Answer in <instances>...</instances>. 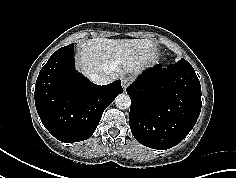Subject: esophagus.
<instances>
[{
  "label": "esophagus",
  "instance_id": "1",
  "mask_svg": "<svg viewBox=\"0 0 236 178\" xmlns=\"http://www.w3.org/2000/svg\"><path fill=\"white\" fill-rule=\"evenodd\" d=\"M131 78L129 77H122L121 78V85L124 89V91H126V88L129 86V84L131 83Z\"/></svg>",
  "mask_w": 236,
  "mask_h": 178
}]
</instances>
